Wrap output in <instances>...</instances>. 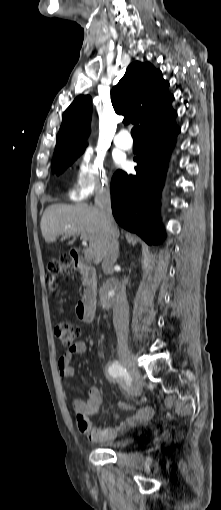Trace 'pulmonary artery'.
<instances>
[{
	"label": "pulmonary artery",
	"instance_id": "obj_1",
	"mask_svg": "<svg viewBox=\"0 0 221 510\" xmlns=\"http://www.w3.org/2000/svg\"><path fill=\"white\" fill-rule=\"evenodd\" d=\"M115 144L125 150L132 147V139L127 131H119L114 136Z\"/></svg>",
	"mask_w": 221,
	"mask_h": 510
}]
</instances>
